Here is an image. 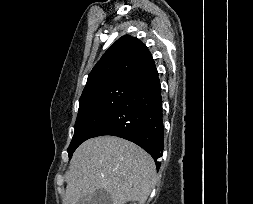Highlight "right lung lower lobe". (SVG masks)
<instances>
[{"label": "right lung lower lobe", "mask_w": 253, "mask_h": 204, "mask_svg": "<svg viewBox=\"0 0 253 204\" xmlns=\"http://www.w3.org/2000/svg\"><path fill=\"white\" fill-rule=\"evenodd\" d=\"M118 136L132 141L161 163L164 127L161 86L156 67L136 82L132 91L97 129L93 137Z\"/></svg>", "instance_id": "right-lung-lower-lobe-1"}]
</instances>
